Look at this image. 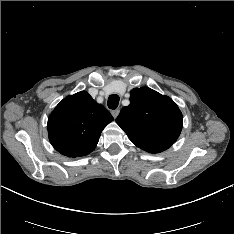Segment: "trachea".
<instances>
[{"mask_svg":"<svg viewBox=\"0 0 234 234\" xmlns=\"http://www.w3.org/2000/svg\"><path fill=\"white\" fill-rule=\"evenodd\" d=\"M119 103V96L116 94L110 95L108 98L107 105L110 109H116Z\"/></svg>","mask_w":234,"mask_h":234,"instance_id":"obj_1","label":"trachea"}]
</instances>
